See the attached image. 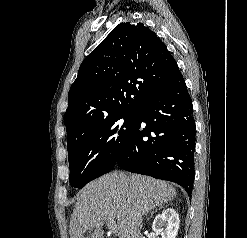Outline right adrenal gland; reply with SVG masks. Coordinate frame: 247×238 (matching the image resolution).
I'll return each instance as SVG.
<instances>
[{
    "label": "right adrenal gland",
    "instance_id": "1",
    "mask_svg": "<svg viewBox=\"0 0 247 238\" xmlns=\"http://www.w3.org/2000/svg\"><path fill=\"white\" fill-rule=\"evenodd\" d=\"M162 208V207H161ZM161 208H159V209H161ZM158 209H155L154 211H151L150 212V216H152L153 214H154V212H156ZM149 219V218H148Z\"/></svg>",
    "mask_w": 247,
    "mask_h": 238
}]
</instances>
